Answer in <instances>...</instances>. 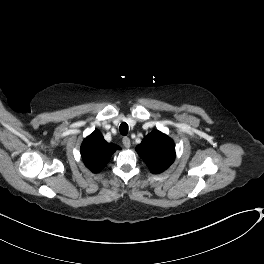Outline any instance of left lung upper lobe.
<instances>
[{
  "label": "left lung upper lobe",
  "mask_w": 264,
  "mask_h": 264,
  "mask_svg": "<svg viewBox=\"0 0 264 264\" xmlns=\"http://www.w3.org/2000/svg\"><path fill=\"white\" fill-rule=\"evenodd\" d=\"M136 151L154 174L165 171L175 159L174 142L160 131L147 135Z\"/></svg>",
  "instance_id": "1"
}]
</instances>
